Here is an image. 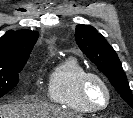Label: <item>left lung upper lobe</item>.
I'll list each match as a JSON object with an SVG mask.
<instances>
[{
  "mask_svg": "<svg viewBox=\"0 0 133 118\" xmlns=\"http://www.w3.org/2000/svg\"><path fill=\"white\" fill-rule=\"evenodd\" d=\"M75 39L82 52L108 77L122 99L133 108V95L127 77L115 50L105 38L94 27L79 24Z\"/></svg>",
  "mask_w": 133,
  "mask_h": 118,
  "instance_id": "1",
  "label": "left lung upper lobe"
}]
</instances>
